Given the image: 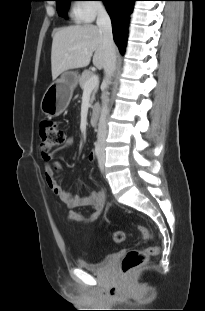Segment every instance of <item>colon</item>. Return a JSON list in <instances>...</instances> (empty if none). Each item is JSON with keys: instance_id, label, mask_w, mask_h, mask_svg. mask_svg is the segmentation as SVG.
Returning a JSON list of instances; mask_svg holds the SVG:
<instances>
[{"instance_id": "obj_1", "label": "colon", "mask_w": 205, "mask_h": 311, "mask_svg": "<svg viewBox=\"0 0 205 311\" xmlns=\"http://www.w3.org/2000/svg\"><path fill=\"white\" fill-rule=\"evenodd\" d=\"M40 152L43 158H50L51 152L64 143L66 139L64 128L56 121H44L41 124L40 131ZM138 230L144 239L151 237L150 231L139 226ZM124 233L117 231L113 234V239L117 243L124 241ZM158 253V247L152 246L144 250L131 249L127 252L121 261V270L128 273L131 270L145 264L150 256Z\"/></svg>"}]
</instances>
